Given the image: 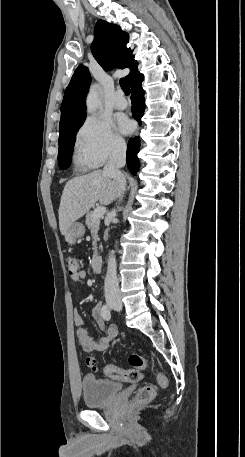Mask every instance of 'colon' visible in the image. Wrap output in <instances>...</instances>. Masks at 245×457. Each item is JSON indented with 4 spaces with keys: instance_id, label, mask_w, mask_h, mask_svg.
Segmentation results:
<instances>
[{
    "instance_id": "obj_1",
    "label": "colon",
    "mask_w": 245,
    "mask_h": 457,
    "mask_svg": "<svg viewBox=\"0 0 245 457\" xmlns=\"http://www.w3.org/2000/svg\"><path fill=\"white\" fill-rule=\"evenodd\" d=\"M67 265L69 274L73 275L78 271V262L77 259L73 256L67 258ZM129 364L132 366V369H122L113 364L106 365L104 371L105 374L113 379L128 381V382H137L143 378V371L147 367V360L139 354H131L129 356ZM86 365L91 370L96 371L97 364L96 360L92 356L86 357ZM158 381L161 385L166 383L165 377L159 373ZM155 396V390L151 386H144L139 389L135 398L133 399L132 406L140 407L149 403Z\"/></svg>"
}]
</instances>
